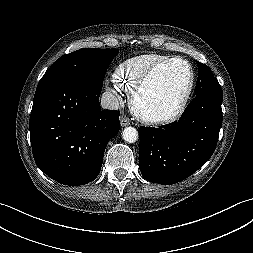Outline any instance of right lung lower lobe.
Segmentation results:
<instances>
[{"instance_id": "98d812e1", "label": "right lung lower lobe", "mask_w": 253, "mask_h": 253, "mask_svg": "<svg viewBox=\"0 0 253 253\" xmlns=\"http://www.w3.org/2000/svg\"><path fill=\"white\" fill-rule=\"evenodd\" d=\"M102 81L59 77L39 83L30 116L35 162L50 178L83 185L99 174L105 148L119 131V111L101 110Z\"/></svg>"}]
</instances>
